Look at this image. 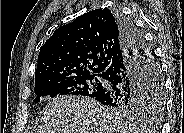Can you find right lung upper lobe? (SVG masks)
<instances>
[{
	"label": "right lung upper lobe",
	"mask_w": 184,
	"mask_h": 133,
	"mask_svg": "<svg viewBox=\"0 0 184 133\" xmlns=\"http://www.w3.org/2000/svg\"><path fill=\"white\" fill-rule=\"evenodd\" d=\"M120 50L121 30L115 13L106 8L87 12L56 29L41 47L35 86L104 72Z\"/></svg>",
	"instance_id": "right-lung-upper-lobe-1"
}]
</instances>
